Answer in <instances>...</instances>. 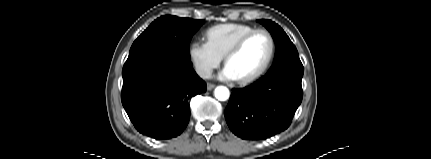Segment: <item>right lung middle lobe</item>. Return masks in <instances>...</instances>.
Listing matches in <instances>:
<instances>
[{"instance_id": "1", "label": "right lung middle lobe", "mask_w": 431, "mask_h": 159, "mask_svg": "<svg viewBox=\"0 0 431 159\" xmlns=\"http://www.w3.org/2000/svg\"><path fill=\"white\" fill-rule=\"evenodd\" d=\"M203 23V20L179 18L172 15L161 16L133 42L129 55L151 47H162L190 60L189 43L193 34Z\"/></svg>"}]
</instances>
